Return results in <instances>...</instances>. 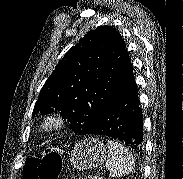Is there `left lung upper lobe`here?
<instances>
[{
  "label": "left lung upper lobe",
  "instance_id": "5c2ea615",
  "mask_svg": "<svg viewBox=\"0 0 183 179\" xmlns=\"http://www.w3.org/2000/svg\"><path fill=\"white\" fill-rule=\"evenodd\" d=\"M126 52L113 27L100 26L88 32L45 82L33 116L55 108L68 119L74 133L90 134L110 106Z\"/></svg>",
  "mask_w": 183,
  "mask_h": 179
}]
</instances>
